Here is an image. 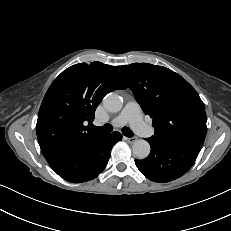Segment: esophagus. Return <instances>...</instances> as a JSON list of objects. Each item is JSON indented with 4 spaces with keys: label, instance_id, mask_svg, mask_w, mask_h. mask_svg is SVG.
I'll return each mask as SVG.
<instances>
[{
    "label": "esophagus",
    "instance_id": "34e87169",
    "mask_svg": "<svg viewBox=\"0 0 231 231\" xmlns=\"http://www.w3.org/2000/svg\"><path fill=\"white\" fill-rule=\"evenodd\" d=\"M129 143H134L137 140V137H124Z\"/></svg>",
    "mask_w": 231,
    "mask_h": 231
}]
</instances>
